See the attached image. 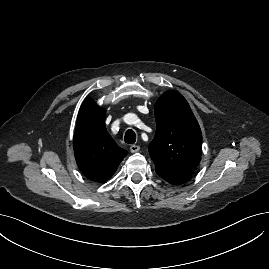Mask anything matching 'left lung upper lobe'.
<instances>
[{
  "mask_svg": "<svg viewBox=\"0 0 269 269\" xmlns=\"http://www.w3.org/2000/svg\"><path fill=\"white\" fill-rule=\"evenodd\" d=\"M156 134L149 153L156 171L191 175L202 152V134L189 104L176 91L165 92L155 104Z\"/></svg>",
  "mask_w": 269,
  "mask_h": 269,
  "instance_id": "obj_1",
  "label": "left lung upper lobe"
}]
</instances>
